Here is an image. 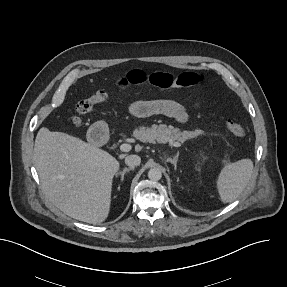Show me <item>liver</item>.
Returning a JSON list of instances; mask_svg holds the SVG:
<instances>
[{"mask_svg": "<svg viewBox=\"0 0 287 287\" xmlns=\"http://www.w3.org/2000/svg\"><path fill=\"white\" fill-rule=\"evenodd\" d=\"M33 160L43 192L53 205L90 224L106 220L113 177L120 167L112 155L77 137L42 127Z\"/></svg>", "mask_w": 287, "mask_h": 287, "instance_id": "6515ba94", "label": "liver"}]
</instances>
